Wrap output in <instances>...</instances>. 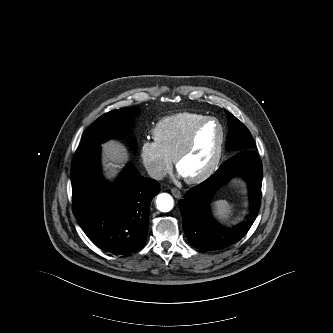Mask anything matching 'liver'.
Wrapping results in <instances>:
<instances>
[{"mask_svg":"<svg viewBox=\"0 0 333 333\" xmlns=\"http://www.w3.org/2000/svg\"><path fill=\"white\" fill-rule=\"evenodd\" d=\"M103 158L108 176L117 173V169L123 166L128 154L126 148L118 141L110 140L102 145Z\"/></svg>","mask_w":333,"mask_h":333,"instance_id":"1","label":"liver"}]
</instances>
